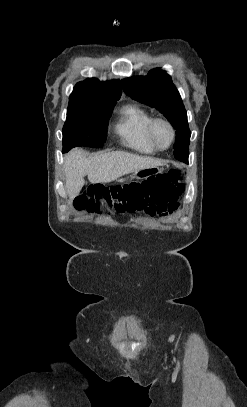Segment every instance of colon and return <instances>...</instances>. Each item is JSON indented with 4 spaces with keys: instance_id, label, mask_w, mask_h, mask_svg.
Here are the masks:
<instances>
[{
    "instance_id": "1",
    "label": "colon",
    "mask_w": 247,
    "mask_h": 407,
    "mask_svg": "<svg viewBox=\"0 0 247 407\" xmlns=\"http://www.w3.org/2000/svg\"><path fill=\"white\" fill-rule=\"evenodd\" d=\"M182 173L173 168L167 173L132 180L116 186L91 185L74 201L77 210L100 212L106 206L109 212L133 214L149 202L174 203L184 191Z\"/></svg>"
}]
</instances>
